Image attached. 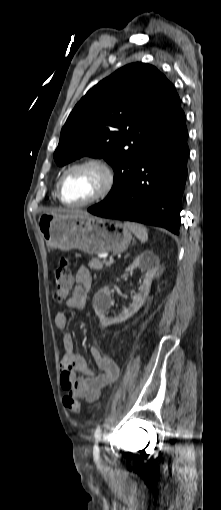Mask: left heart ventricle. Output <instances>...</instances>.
Instances as JSON below:
<instances>
[{
  "label": "left heart ventricle",
  "mask_w": 221,
  "mask_h": 510,
  "mask_svg": "<svg viewBox=\"0 0 221 510\" xmlns=\"http://www.w3.org/2000/svg\"><path fill=\"white\" fill-rule=\"evenodd\" d=\"M100 182V174L93 168L74 170L63 181V198L70 203L85 201L96 193Z\"/></svg>",
  "instance_id": "left-heart-ventricle-1"
}]
</instances>
